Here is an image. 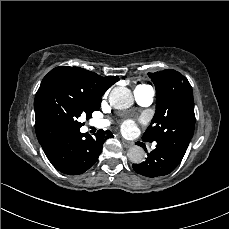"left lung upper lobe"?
I'll return each mask as SVG.
<instances>
[{"mask_svg": "<svg viewBox=\"0 0 229 229\" xmlns=\"http://www.w3.org/2000/svg\"><path fill=\"white\" fill-rule=\"evenodd\" d=\"M156 88V113L142 139L185 154L195 127L193 92L187 78L167 69L148 73Z\"/></svg>", "mask_w": 229, "mask_h": 229, "instance_id": "5c2ea615", "label": "left lung upper lobe"}]
</instances>
